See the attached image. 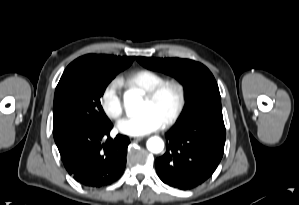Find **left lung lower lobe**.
Listing matches in <instances>:
<instances>
[{
  "mask_svg": "<svg viewBox=\"0 0 299 205\" xmlns=\"http://www.w3.org/2000/svg\"><path fill=\"white\" fill-rule=\"evenodd\" d=\"M225 137L222 112L193 121H177L166 133V153L155 162L159 178L181 190L202 184L222 159Z\"/></svg>",
  "mask_w": 299,
  "mask_h": 205,
  "instance_id": "1",
  "label": "left lung lower lobe"
}]
</instances>
